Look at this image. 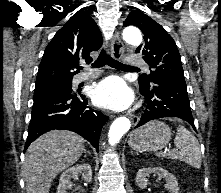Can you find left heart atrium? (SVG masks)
<instances>
[{
  "mask_svg": "<svg viewBox=\"0 0 221 193\" xmlns=\"http://www.w3.org/2000/svg\"><path fill=\"white\" fill-rule=\"evenodd\" d=\"M92 99L99 107L122 111L132 104L133 93L122 78L113 76L94 86Z\"/></svg>",
  "mask_w": 221,
  "mask_h": 193,
  "instance_id": "obj_1",
  "label": "left heart atrium"
}]
</instances>
